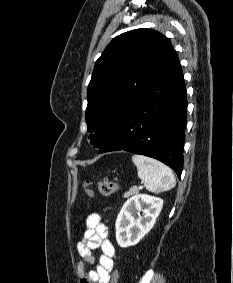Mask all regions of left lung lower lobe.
Wrapping results in <instances>:
<instances>
[{"label":"left lung lower lobe","instance_id":"left-lung-lower-lobe-1","mask_svg":"<svg viewBox=\"0 0 233 283\" xmlns=\"http://www.w3.org/2000/svg\"><path fill=\"white\" fill-rule=\"evenodd\" d=\"M186 87L173 49L148 79L113 139L101 149L146 155L171 167L180 178L186 127Z\"/></svg>","mask_w":233,"mask_h":283}]
</instances>
